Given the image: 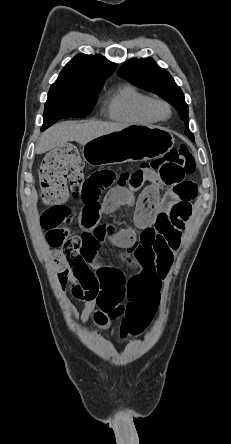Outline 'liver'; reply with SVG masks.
<instances>
[{
  "label": "liver",
  "instance_id": "liver-1",
  "mask_svg": "<svg viewBox=\"0 0 231 444\" xmlns=\"http://www.w3.org/2000/svg\"><path fill=\"white\" fill-rule=\"evenodd\" d=\"M128 126V124L101 121L57 123L42 134L35 151L37 154H42L56 147L64 146L69 141L85 145L94 138L120 131Z\"/></svg>",
  "mask_w": 231,
  "mask_h": 444
}]
</instances>
